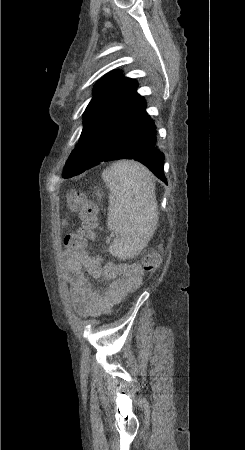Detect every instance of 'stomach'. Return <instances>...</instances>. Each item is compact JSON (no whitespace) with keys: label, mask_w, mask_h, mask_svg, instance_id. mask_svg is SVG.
I'll use <instances>...</instances> for the list:
<instances>
[{"label":"stomach","mask_w":245,"mask_h":450,"mask_svg":"<svg viewBox=\"0 0 245 450\" xmlns=\"http://www.w3.org/2000/svg\"><path fill=\"white\" fill-rule=\"evenodd\" d=\"M96 193H97V195H98V197H99V198H101V197H102V193H100V189H99V190H97V191H96Z\"/></svg>","instance_id":"1"}]
</instances>
